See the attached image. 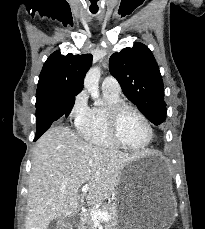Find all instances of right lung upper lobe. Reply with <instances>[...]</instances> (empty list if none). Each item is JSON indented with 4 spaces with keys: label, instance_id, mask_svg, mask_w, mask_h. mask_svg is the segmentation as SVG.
I'll list each match as a JSON object with an SVG mask.
<instances>
[{
    "label": "right lung upper lobe",
    "instance_id": "right-lung-upper-lobe-1",
    "mask_svg": "<svg viewBox=\"0 0 205 229\" xmlns=\"http://www.w3.org/2000/svg\"><path fill=\"white\" fill-rule=\"evenodd\" d=\"M91 64V54L52 53L39 76L36 101L76 96L83 89V80Z\"/></svg>",
    "mask_w": 205,
    "mask_h": 229
}]
</instances>
